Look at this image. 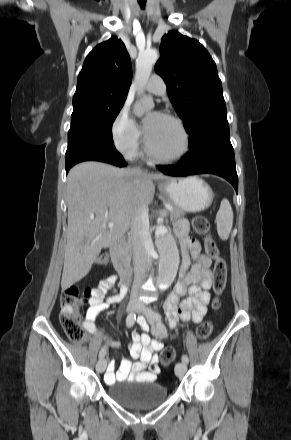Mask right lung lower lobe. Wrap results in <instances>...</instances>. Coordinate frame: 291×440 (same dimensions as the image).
<instances>
[{"label": "right lung lower lobe", "instance_id": "1", "mask_svg": "<svg viewBox=\"0 0 291 440\" xmlns=\"http://www.w3.org/2000/svg\"><path fill=\"white\" fill-rule=\"evenodd\" d=\"M89 160L106 162L119 167L126 165L114 146L98 142L74 141L68 144L65 154L66 174L75 164Z\"/></svg>", "mask_w": 291, "mask_h": 440}]
</instances>
